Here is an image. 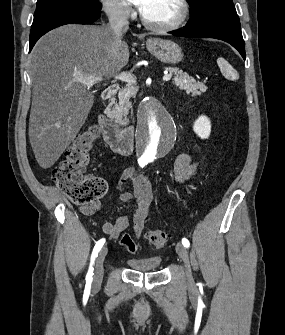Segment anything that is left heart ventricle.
Masks as SVG:
<instances>
[{"instance_id":"1","label":"left heart ventricle","mask_w":285,"mask_h":335,"mask_svg":"<svg viewBox=\"0 0 285 335\" xmlns=\"http://www.w3.org/2000/svg\"><path fill=\"white\" fill-rule=\"evenodd\" d=\"M181 14L175 1H148L143 17L154 26H163L175 22Z\"/></svg>"}]
</instances>
